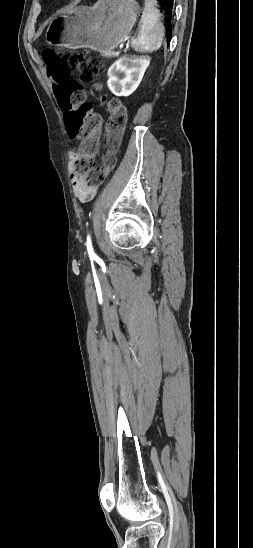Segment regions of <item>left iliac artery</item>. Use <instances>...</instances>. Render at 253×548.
Masks as SVG:
<instances>
[{
	"label": "left iliac artery",
	"mask_w": 253,
	"mask_h": 548,
	"mask_svg": "<svg viewBox=\"0 0 253 548\" xmlns=\"http://www.w3.org/2000/svg\"><path fill=\"white\" fill-rule=\"evenodd\" d=\"M86 246H87V250H88L89 257H90V258H95L96 255H95V253H94V251H93L92 242H91V238H90L89 235L87 236Z\"/></svg>",
	"instance_id": "left-iliac-artery-1"
}]
</instances>
